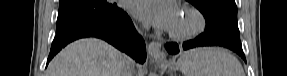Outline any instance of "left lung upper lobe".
<instances>
[{
    "instance_id": "1",
    "label": "left lung upper lobe",
    "mask_w": 287,
    "mask_h": 76,
    "mask_svg": "<svg viewBox=\"0 0 287 76\" xmlns=\"http://www.w3.org/2000/svg\"><path fill=\"white\" fill-rule=\"evenodd\" d=\"M206 18L205 30L215 35L240 40L235 0H187Z\"/></svg>"
}]
</instances>
